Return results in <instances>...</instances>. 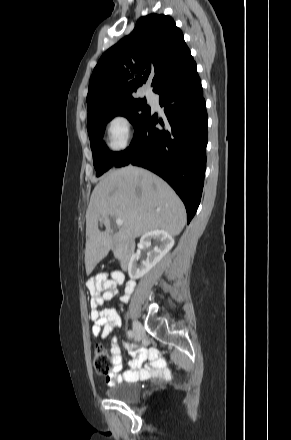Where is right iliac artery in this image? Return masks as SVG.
<instances>
[{
  "label": "right iliac artery",
  "mask_w": 291,
  "mask_h": 440,
  "mask_svg": "<svg viewBox=\"0 0 291 440\" xmlns=\"http://www.w3.org/2000/svg\"><path fill=\"white\" fill-rule=\"evenodd\" d=\"M133 336H134L133 331H132V330H129V331H128V337H129V338H132Z\"/></svg>",
  "instance_id": "right-iliac-artery-1"
}]
</instances>
